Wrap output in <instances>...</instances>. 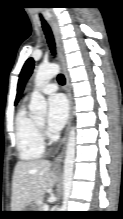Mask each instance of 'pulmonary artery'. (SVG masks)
<instances>
[{
  "label": "pulmonary artery",
  "mask_w": 123,
  "mask_h": 219,
  "mask_svg": "<svg viewBox=\"0 0 123 219\" xmlns=\"http://www.w3.org/2000/svg\"><path fill=\"white\" fill-rule=\"evenodd\" d=\"M58 90V86L56 83H48L41 88V91L44 94H52Z\"/></svg>",
  "instance_id": "e3ab8cb5"
}]
</instances>
